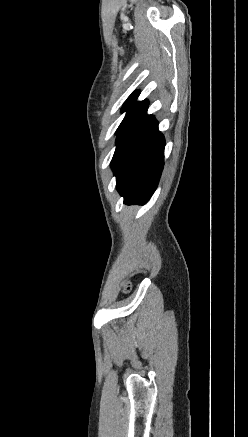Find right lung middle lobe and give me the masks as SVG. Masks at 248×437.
I'll list each match as a JSON object with an SVG mask.
<instances>
[{"label": "right lung middle lobe", "instance_id": "1", "mask_svg": "<svg viewBox=\"0 0 248 437\" xmlns=\"http://www.w3.org/2000/svg\"><path fill=\"white\" fill-rule=\"evenodd\" d=\"M137 97H138V95H132V96H130V97L127 99V101L124 103V105H123V107H122V112L127 111V114H128L129 111L131 110V108L133 107V105H134V103H135ZM127 114H126V116H127ZM124 119H125V118H124ZM123 121H124V120H123ZM123 121H122V123L120 124L118 130L121 128V126H122V124H123Z\"/></svg>", "mask_w": 248, "mask_h": 437}]
</instances>
